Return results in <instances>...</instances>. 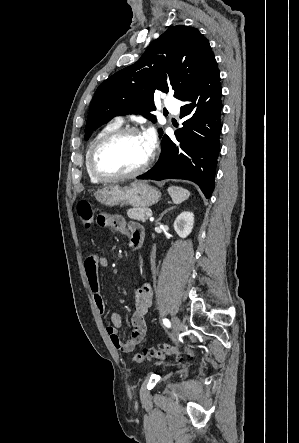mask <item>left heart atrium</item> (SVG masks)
Returning a JSON list of instances; mask_svg holds the SVG:
<instances>
[{"label":"left heart atrium","mask_w":299,"mask_h":443,"mask_svg":"<svg viewBox=\"0 0 299 443\" xmlns=\"http://www.w3.org/2000/svg\"><path fill=\"white\" fill-rule=\"evenodd\" d=\"M144 139L146 140V143L148 145L149 148V152H151L156 144V133L155 130L153 128H149L145 131V133L143 134Z\"/></svg>","instance_id":"1"}]
</instances>
